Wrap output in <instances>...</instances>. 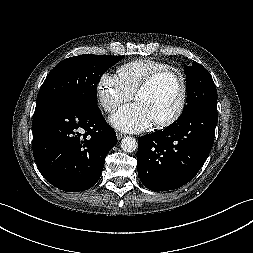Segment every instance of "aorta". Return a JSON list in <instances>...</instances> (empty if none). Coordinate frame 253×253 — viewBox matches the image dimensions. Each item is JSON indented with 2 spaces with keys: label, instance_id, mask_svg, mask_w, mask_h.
Wrapping results in <instances>:
<instances>
[{
  "label": "aorta",
  "instance_id": "obj_1",
  "mask_svg": "<svg viewBox=\"0 0 253 253\" xmlns=\"http://www.w3.org/2000/svg\"><path fill=\"white\" fill-rule=\"evenodd\" d=\"M138 147L136 139L133 137H125L121 141V148L124 152L131 153L134 152Z\"/></svg>",
  "mask_w": 253,
  "mask_h": 253
}]
</instances>
